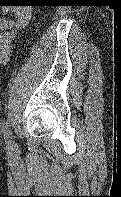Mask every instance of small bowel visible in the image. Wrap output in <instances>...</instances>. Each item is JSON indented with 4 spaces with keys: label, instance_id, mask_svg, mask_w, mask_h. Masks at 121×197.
<instances>
[{
    "label": "small bowel",
    "instance_id": "obj_1",
    "mask_svg": "<svg viewBox=\"0 0 121 197\" xmlns=\"http://www.w3.org/2000/svg\"><path fill=\"white\" fill-rule=\"evenodd\" d=\"M0 12V66L6 65L12 56V42L18 32L24 29L30 21V11L27 7L19 5H1ZM14 12L15 20L2 17V14Z\"/></svg>",
    "mask_w": 121,
    "mask_h": 197
}]
</instances>
